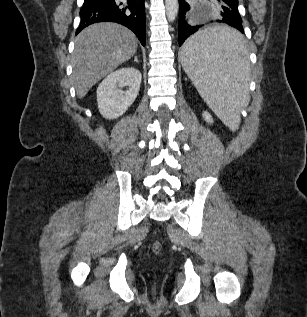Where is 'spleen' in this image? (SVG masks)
<instances>
[{"label": "spleen", "instance_id": "3e777b00", "mask_svg": "<svg viewBox=\"0 0 307 317\" xmlns=\"http://www.w3.org/2000/svg\"><path fill=\"white\" fill-rule=\"evenodd\" d=\"M249 42L231 26H206L183 45L181 61L198 93L232 131L250 100Z\"/></svg>", "mask_w": 307, "mask_h": 317}]
</instances>
